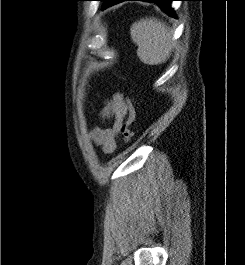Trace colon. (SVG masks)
<instances>
[{
    "label": "colon",
    "mask_w": 245,
    "mask_h": 265,
    "mask_svg": "<svg viewBox=\"0 0 245 265\" xmlns=\"http://www.w3.org/2000/svg\"><path fill=\"white\" fill-rule=\"evenodd\" d=\"M127 103V117L120 125V133L124 142L129 143L133 138V131L131 126L136 118V111L130 99H126Z\"/></svg>",
    "instance_id": "5ec220e1"
}]
</instances>
